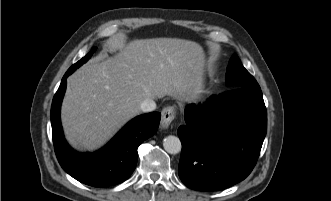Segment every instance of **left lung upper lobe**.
I'll return each instance as SVG.
<instances>
[{"instance_id": "1", "label": "left lung upper lobe", "mask_w": 331, "mask_h": 201, "mask_svg": "<svg viewBox=\"0 0 331 201\" xmlns=\"http://www.w3.org/2000/svg\"><path fill=\"white\" fill-rule=\"evenodd\" d=\"M226 83L237 87L258 86L254 77L244 68L237 55H233L226 73Z\"/></svg>"}]
</instances>
